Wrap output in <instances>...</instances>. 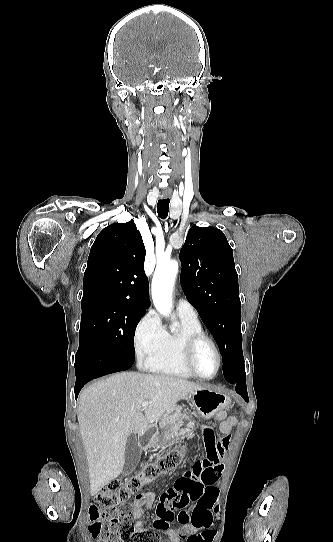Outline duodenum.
Returning a JSON list of instances; mask_svg holds the SVG:
<instances>
[{
    "label": "duodenum",
    "instance_id": "1",
    "mask_svg": "<svg viewBox=\"0 0 333 542\" xmlns=\"http://www.w3.org/2000/svg\"><path fill=\"white\" fill-rule=\"evenodd\" d=\"M140 445L142 448H149L151 445V440L147 436H141L140 438Z\"/></svg>",
    "mask_w": 333,
    "mask_h": 542
}]
</instances>
